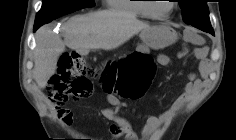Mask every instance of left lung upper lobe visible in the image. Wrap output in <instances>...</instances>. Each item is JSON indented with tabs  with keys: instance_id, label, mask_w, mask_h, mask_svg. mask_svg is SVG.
<instances>
[{
	"instance_id": "1",
	"label": "left lung upper lobe",
	"mask_w": 236,
	"mask_h": 140,
	"mask_svg": "<svg viewBox=\"0 0 236 140\" xmlns=\"http://www.w3.org/2000/svg\"><path fill=\"white\" fill-rule=\"evenodd\" d=\"M182 9V17L186 24L214 35L209 20V10L206 0H178Z\"/></svg>"
}]
</instances>
